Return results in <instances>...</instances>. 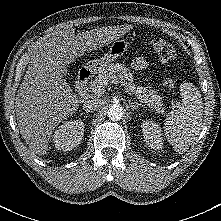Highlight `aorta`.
I'll return each mask as SVG.
<instances>
[{
	"mask_svg": "<svg viewBox=\"0 0 221 221\" xmlns=\"http://www.w3.org/2000/svg\"><path fill=\"white\" fill-rule=\"evenodd\" d=\"M108 117L112 121H118L123 116V109L120 105H112L107 111Z\"/></svg>",
	"mask_w": 221,
	"mask_h": 221,
	"instance_id": "obj_1",
	"label": "aorta"
}]
</instances>
